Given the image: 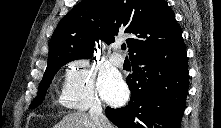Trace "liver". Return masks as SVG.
Listing matches in <instances>:
<instances>
[{
  "label": "liver",
  "instance_id": "6515ba94",
  "mask_svg": "<svg viewBox=\"0 0 221 128\" xmlns=\"http://www.w3.org/2000/svg\"><path fill=\"white\" fill-rule=\"evenodd\" d=\"M54 128H97V126L89 113L75 112L64 116Z\"/></svg>",
  "mask_w": 221,
  "mask_h": 128
}]
</instances>
